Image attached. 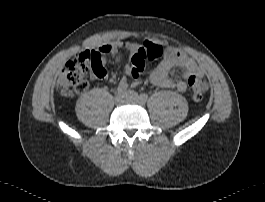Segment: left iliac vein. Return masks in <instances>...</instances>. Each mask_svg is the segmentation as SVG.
Instances as JSON below:
<instances>
[{"label":"left iliac vein","mask_w":265,"mask_h":202,"mask_svg":"<svg viewBox=\"0 0 265 202\" xmlns=\"http://www.w3.org/2000/svg\"><path fill=\"white\" fill-rule=\"evenodd\" d=\"M126 100L131 103H136L139 105H143L144 102L141 100V97L134 91L128 90L126 93Z\"/></svg>","instance_id":"4c4485c4"}]
</instances>
